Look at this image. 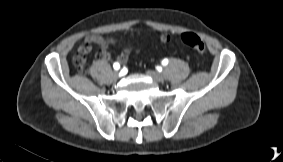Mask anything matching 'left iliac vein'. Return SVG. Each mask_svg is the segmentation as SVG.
Masks as SVG:
<instances>
[{"instance_id": "obj_1", "label": "left iliac vein", "mask_w": 283, "mask_h": 162, "mask_svg": "<svg viewBox=\"0 0 283 162\" xmlns=\"http://www.w3.org/2000/svg\"><path fill=\"white\" fill-rule=\"evenodd\" d=\"M146 74L152 78L153 80L157 82H163L164 81V76L156 71L149 70L146 72Z\"/></svg>"}]
</instances>
